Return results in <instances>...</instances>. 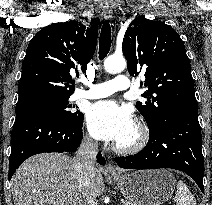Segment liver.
Returning <instances> with one entry per match:
<instances>
[{"label": "liver", "mask_w": 212, "mask_h": 205, "mask_svg": "<svg viewBox=\"0 0 212 205\" xmlns=\"http://www.w3.org/2000/svg\"><path fill=\"white\" fill-rule=\"evenodd\" d=\"M14 205H80L82 192L77 182L74 158L59 153H42L28 158L11 180ZM104 190L100 170H94L92 194Z\"/></svg>", "instance_id": "liver-1"}]
</instances>
